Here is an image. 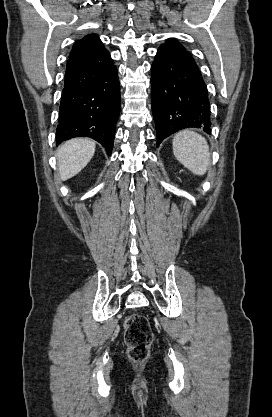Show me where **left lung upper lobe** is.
<instances>
[{"instance_id": "1", "label": "left lung upper lobe", "mask_w": 272, "mask_h": 417, "mask_svg": "<svg viewBox=\"0 0 272 417\" xmlns=\"http://www.w3.org/2000/svg\"><path fill=\"white\" fill-rule=\"evenodd\" d=\"M162 46L164 47H170V48H177V49H185L179 42H177L174 39H168L165 44Z\"/></svg>"}]
</instances>
